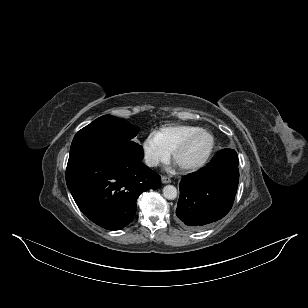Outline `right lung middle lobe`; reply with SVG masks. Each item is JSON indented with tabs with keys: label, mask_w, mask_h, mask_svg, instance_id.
I'll list each match as a JSON object with an SVG mask.
<instances>
[{
	"label": "right lung middle lobe",
	"mask_w": 308,
	"mask_h": 308,
	"mask_svg": "<svg viewBox=\"0 0 308 308\" xmlns=\"http://www.w3.org/2000/svg\"><path fill=\"white\" fill-rule=\"evenodd\" d=\"M139 128L128 121L104 115L75 135L69 157L85 153H111L143 159L142 146L132 141Z\"/></svg>",
	"instance_id": "obj_1"
}]
</instances>
